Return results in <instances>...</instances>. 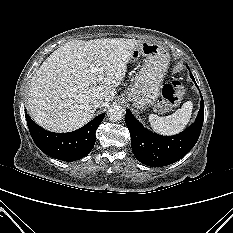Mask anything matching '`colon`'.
Masks as SVG:
<instances>
[{
  "mask_svg": "<svg viewBox=\"0 0 233 233\" xmlns=\"http://www.w3.org/2000/svg\"><path fill=\"white\" fill-rule=\"evenodd\" d=\"M185 86L180 80H173L165 84L161 90V98L156 108L159 112H167L172 106L178 104L185 94Z\"/></svg>",
  "mask_w": 233,
  "mask_h": 233,
  "instance_id": "5ec220e1",
  "label": "colon"
}]
</instances>
